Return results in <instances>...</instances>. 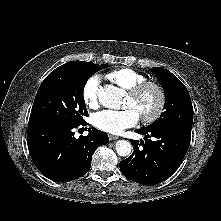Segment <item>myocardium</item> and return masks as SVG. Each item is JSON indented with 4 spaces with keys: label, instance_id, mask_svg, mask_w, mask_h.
Returning <instances> with one entry per match:
<instances>
[{
    "label": "myocardium",
    "instance_id": "f54148a6",
    "mask_svg": "<svg viewBox=\"0 0 221 221\" xmlns=\"http://www.w3.org/2000/svg\"><path fill=\"white\" fill-rule=\"evenodd\" d=\"M149 89H153L157 93L158 103L153 113L147 116H141V120L147 124L157 121L165 110L167 96L164 87L158 82L146 80L128 90V96L132 99H137Z\"/></svg>",
    "mask_w": 221,
    "mask_h": 221
}]
</instances>
